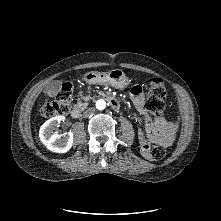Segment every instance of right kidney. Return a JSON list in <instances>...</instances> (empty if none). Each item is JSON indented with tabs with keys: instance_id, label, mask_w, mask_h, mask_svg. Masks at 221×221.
<instances>
[{
	"instance_id": "obj_1",
	"label": "right kidney",
	"mask_w": 221,
	"mask_h": 221,
	"mask_svg": "<svg viewBox=\"0 0 221 221\" xmlns=\"http://www.w3.org/2000/svg\"><path fill=\"white\" fill-rule=\"evenodd\" d=\"M64 119V116H56L47 120L40 127V140L52 152L66 153L72 147L73 133L70 131L63 134H58L56 131L57 125L64 121Z\"/></svg>"
}]
</instances>
